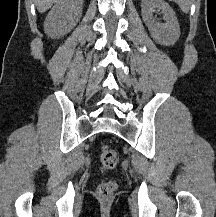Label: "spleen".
Returning a JSON list of instances; mask_svg holds the SVG:
<instances>
[{
    "label": "spleen",
    "mask_w": 216,
    "mask_h": 217,
    "mask_svg": "<svg viewBox=\"0 0 216 217\" xmlns=\"http://www.w3.org/2000/svg\"><path fill=\"white\" fill-rule=\"evenodd\" d=\"M169 1H173L177 3L184 13H188L191 6V0H169Z\"/></svg>",
    "instance_id": "spleen-1"
}]
</instances>
